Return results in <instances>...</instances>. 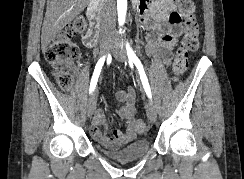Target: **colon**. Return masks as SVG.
I'll return each mask as SVG.
<instances>
[{"mask_svg":"<svg viewBox=\"0 0 244 179\" xmlns=\"http://www.w3.org/2000/svg\"><path fill=\"white\" fill-rule=\"evenodd\" d=\"M178 10L174 13L183 20L185 32L177 49L172 63V79H178L184 74L188 65V56L199 47L198 23L194 17L195 5L191 0H176ZM86 23L83 19H75L55 37L53 42L45 49V60L53 67L56 77L62 89L68 90L72 86V78L65 69L79 56V48L71 39L73 36L85 30ZM136 130L144 133L148 130L142 120L136 122Z\"/></svg>","mask_w":244,"mask_h":179,"instance_id":"colon-1","label":"colon"}]
</instances>
